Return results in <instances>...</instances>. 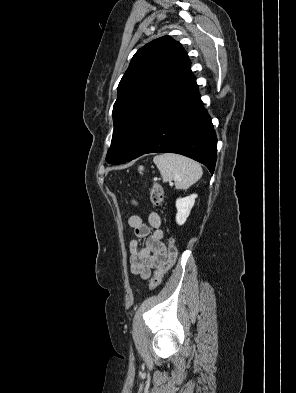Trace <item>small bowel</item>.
<instances>
[{
  "label": "small bowel",
  "instance_id": "small-bowel-1",
  "mask_svg": "<svg viewBox=\"0 0 296 393\" xmlns=\"http://www.w3.org/2000/svg\"><path fill=\"white\" fill-rule=\"evenodd\" d=\"M149 225H146L138 215H131L128 224L139 239H145L141 244L138 239L130 242V272L142 279H147L151 271L161 264L166 256V246L163 242L161 217L156 212L148 216Z\"/></svg>",
  "mask_w": 296,
  "mask_h": 393
}]
</instances>
